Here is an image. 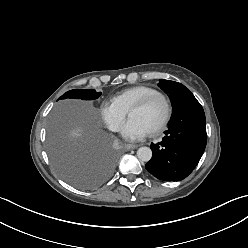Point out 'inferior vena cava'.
<instances>
[{
	"label": "inferior vena cava",
	"instance_id": "inferior-vena-cava-1",
	"mask_svg": "<svg viewBox=\"0 0 248 248\" xmlns=\"http://www.w3.org/2000/svg\"><path fill=\"white\" fill-rule=\"evenodd\" d=\"M112 130H113V131H116V130H117V128H116V127H114Z\"/></svg>",
	"mask_w": 248,
	"mask_h": 248
}]
</instances>
